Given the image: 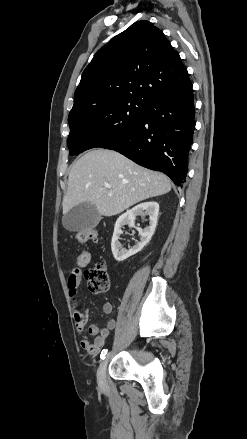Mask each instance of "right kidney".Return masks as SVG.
<instances>
[{
    "instance_id": "ca27d5eb",
    "label": "right kidney",
    "mask_w": 247,
    "mask_h": 439,
    "mask_svg": "<svg viewBox=\"0 0 247 439\" xmlns=\"http://www.w3.org/2000/svg\"><path fill=\"white\" fill-rule=\"evenodd\" d=\"M158 214L159 204L157 202L150 201L138 204L131 210H127L117 219L111 241L112 253L117 261L121 262L126 260L130 256L135 255L136 253L141 251L144 246L148 244V242L151 240L152 235L155 232ZM137 215H149V226L144 229L137 228L139 235L141 236V240L135 246H133L129 250H126L122 248L119 242L120 235L123 233L122 228L125 225H134Z\"/></svg>"
}]
</instances>
